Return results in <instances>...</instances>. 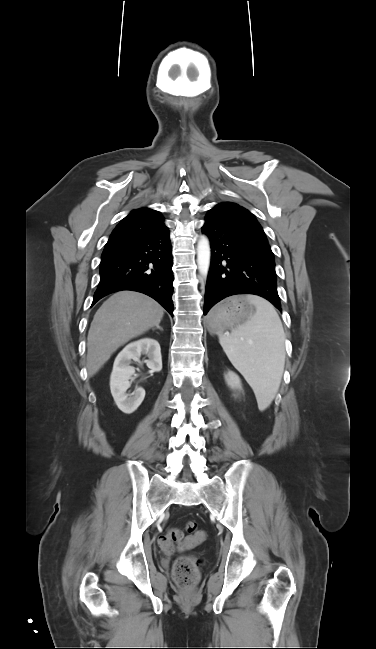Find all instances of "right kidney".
<instances>
[{"mask_svg": "<svg viewBox=\"0 0 376 649\" xmlns=\"http://www.w3.org/2000/svg\"><path fill=\"white\" fill-rule=\"evenodd\" d=\"M141 354L148 357L144 362L152 372L162 369V356L159 343L146 337L128 344L116 357L110 376L111 394L118 408L126 413H133L145 397L143 388H136L133 393L127 394L130 387L129 379L135 373V368L130 366L131 360L138 361Z\"/></svg>", "mask_w": 376, "mask_h": 649, "instance_id": "1", "label": "right kidney"}]
</instances>
